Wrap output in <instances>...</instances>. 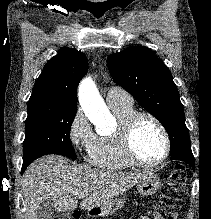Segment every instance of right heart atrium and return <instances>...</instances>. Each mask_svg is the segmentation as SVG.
I'll return each instance as SVG.
<instances>
[{
  "mask_svg": "<svg viewBox=\"0 0 211 219\" xmlns=\"http://www.w3.org/2000/svg\"><path fill=\"white\" fill-rule=\"evenodd\" d=\"M68 140L76 150L85 152H88L95 140L91 126L80 110L74 114L70 121Z\"/></svg>",
  "mask_w": 211,
  "mask_h": 219,
  "instance_id": "obj_1",
  "label": "right heart atrium"
}]
</instances>
